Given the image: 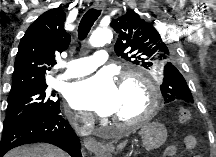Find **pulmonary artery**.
Segmentation results:
<instances>
[{"label":"pulmonary artery","instance_id":"e3ab8cb5","mask_svg":"<svg viewBox=\"0 0 216 157\" xmlns=\"http://www.w3.org/2000/svg\"><path fill=\"white\" fill-rule=\"evenodd\" d=\"M108 60V53L105 50H98L93 55L82 57L67 62L64 67L66 72L58 75V79H70L87 75L95 71L99 66L105 64Z\"/></svg>","mask_w":216,"mask_h":157}]
</instances>
